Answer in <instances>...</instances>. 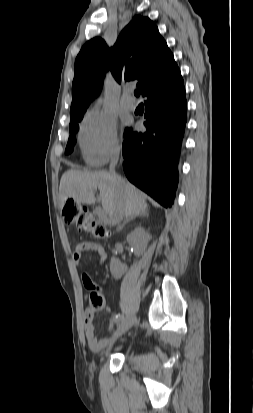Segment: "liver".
Masks as SVG:
<instances>
[{"instance_id": "obj_1", "label": "liver", "mask_w": 253, "mask_h": 413, "mask_svg": "<svg viewBox=\"0 0 253 413\" xmlns=\"http://www.w3.org/2000/svg\"><path fill=\"white\" fill-rule=\"evenodd\" d=\"M123 191V210L126 218L146 213L148 205L145 195L127 180L119 177ZM99 189V199L107 214H111L117 204L118 192L107 172H83L68 170L60 180L59 206L62 208L68 198L77 203L93 204L94 190Z\"/></svg>"}]
</instances>
